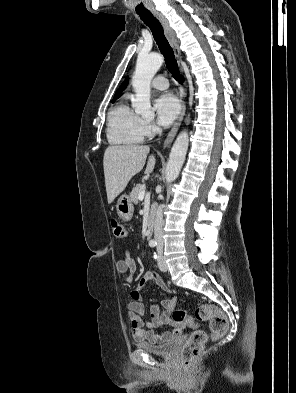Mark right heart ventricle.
<instances>
[{
  "label": "right heart ventricle",
  "mask_w": 296,
  "mask_h": 393,
  "mask_svg": "<svg viewBox=\"0 0 296 393\" xmlns=\"http://www.w3.org/2000/svg\"><path fill=\"white\" fill-rule=\"evenodd\" d=\"M143 120L127 102L115 106L108 117L107 138L111 144L133 146L144 139Z\"/></svg>",
  "instance_id": "right-heart-ventricle-1"
}]
</instances>
